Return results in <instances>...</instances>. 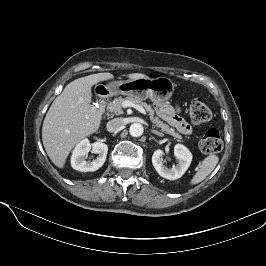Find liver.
Returning a JSON list of instances; mask_svg holds the SVG:
<instances>
[{
  "label": "liver",
  "instance_id": "obj_1",
  "mask_svg": "<svg viewBox=\"0 0 266 266\" xmlns=\"http://www.w3.org/2000/svg\"><path fill=\"white\" fill-rule=\"evenodd\" d=\"M129 80L148 77L128 74ZM113 79L111 73H96L70 82L49 108L42 126V141L51 161L63 168L66 159L83 138L95 133L102 113L90 106L93 85Z\"/></svg>",
  "mask_w": 266,
  "mask_h": 266
}]
</instances>
